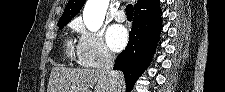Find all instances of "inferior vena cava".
<instances>
[{"label":"inferior vena cava","mask_w":225,"mask_h":92,"mask_svg":"<svg viewBox=\"0 0 225 92\" xmlns=\"http://www.w3.org/2000/svg\"><path fill=\"white\" fill-rule=\"evenodd\" d=\"M113 65H114L113 54L110 53L108 50L102 51L99 70L106 73L109 76L110 82L112 84V89H115V86L117 83V72L113 70ZM112 91H116V90H112Z\"/></svg>","instance_id":"obj_1"}]
</instances>
